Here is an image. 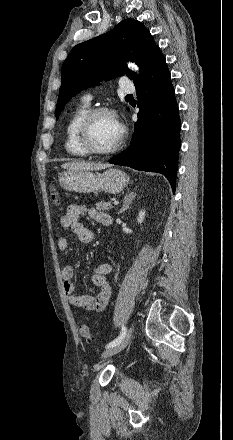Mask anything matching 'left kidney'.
<instances>
[{
  "instance_id": "1",
  "label": "left kidney",
  "mask_w": 233,
  "mask_h": 440,
  "mask_svg": "<svg viewBox=\"0 0 233 440\" xmlns=\"http://www.w3.org/2000/svg\"><path fill=\"white\" fill-rule=\"evenodd\" d=\"M144 218H145V211L143 210V211L139 212V215H138V218H137L138 223L141 224L144 221Z\"/></svg>"
}]
</instances>
